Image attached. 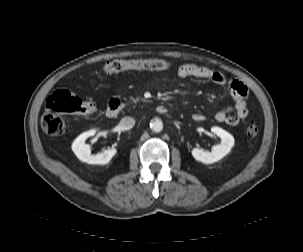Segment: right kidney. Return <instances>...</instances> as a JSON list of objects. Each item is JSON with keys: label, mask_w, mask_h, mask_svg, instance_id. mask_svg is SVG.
Returning a JSON list of instances; mask_svg holds the SVG:
<instances>
[{"label": "right kidney", "mask_w": 303, "mask_h": 252, "mask_svg": "<svg viewBox=\"0 0 303 252\" xmlns=\"http://www.w3.org/2000/svg\"><path fill=\"white\" fill-rule=\"evenodd\" d=\"M95 130H90L80 134L72 143V150L79 160L88 164L105 165L110 162L117 153L115 148L105 150L98 154H91V148L85 143L86 139L94 136Z\"/></svg>", "instance_id": "1"}]
</instances>
